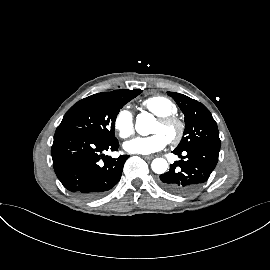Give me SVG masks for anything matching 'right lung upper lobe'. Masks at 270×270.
<instances>
[{
  "instance_id": "cb5924a9",
  "label": "right lung upper lobe",
  "mask_w": 270,
  "mask_h": 270,
  "mask_svg": "<svg viewBox=\"0 0 270 270\" xmlns=\"http://www.w3.org/2000/svg\"><path fill=\"white\" fill-rule=\"evenodd\" d=\"M135 90L131 91V90H126V89H121V90H114L112 92H107L110 94H119V95H129L131 93H133Z\"/></svg>"
}]
</instances>
